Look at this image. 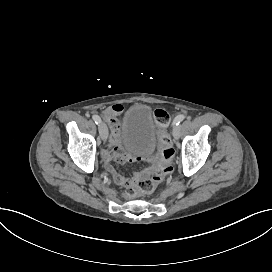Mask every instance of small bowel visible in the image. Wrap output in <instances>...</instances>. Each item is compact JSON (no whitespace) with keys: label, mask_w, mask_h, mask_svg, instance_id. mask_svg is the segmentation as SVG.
I'll return each instance as SVG.
<instances>
[{"label":"small bowel","mask_w":272,"mask_h":272,"mask_svg":"<svg viewBox=\"0 0 272 272\" xmlns=\"http://www.w3.org/2000/svg\"><path fill=\"white\" fill-rule=\"evenodd\" d=\"M123 112V106L115 104L109 106L104 111V119L110 128V138L107 148L103 151L102 157L104 160L105 169L113 176L114 181L118 184V175L112 174L109 171L108 164L112 158L118 157L125 160L127 163L134 162L140 158L123 152L122 146V125L118 119Z\"/></svg>","instance_id":"1"}]
</instances>
